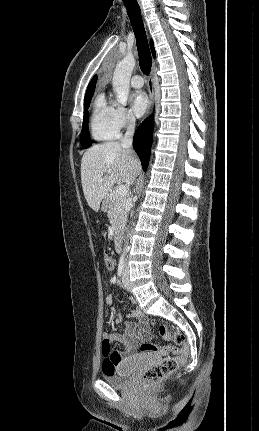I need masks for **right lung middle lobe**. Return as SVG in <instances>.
<instances>
[{"instance_id": "dd1d6c3e", "label": "right lung middle lobe", "mask_w": 259, "mask_h": 431, "mask_svg": "<svg viewBox=\"0 0 259 431\" xmlns=\"http://www.w3.org/2000/svg\"><path fill=\"white\" fill-rule=\"evenodd\" d=\"M93 92L86 94L84 98V117L81 131V145L84 149L92 145L89 132H88V108L92 98Z\"/></svg>"}]
</instances>
